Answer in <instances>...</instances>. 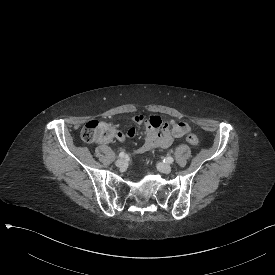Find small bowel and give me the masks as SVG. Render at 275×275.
Here are the masks:
<instances>
[{
  "mask_svg": "<svg viewBox=\"0 0 275 275\" xmlns=\"http://www.w3.org/2000/svg\"><path fill=\"white\" fill-rule=\"evenodd\" d=\"M132 121L135 125L145 127L144 142L135 150L136 154H144L156 148H167L175 138H180L189 131L187 123L177 122L173 119L163 121L158 113L149 117L137 114L132 118ZM136 134V129L131 127L127 133L124 130H119L117 137L119 140H124L126 135L132 138Z\"/></svg>",
  "mask_w": 275,
  "mask_h": 275,
  "instance_id": "c3829d8e",
  "label": "small bowel"
}]
</instances>
